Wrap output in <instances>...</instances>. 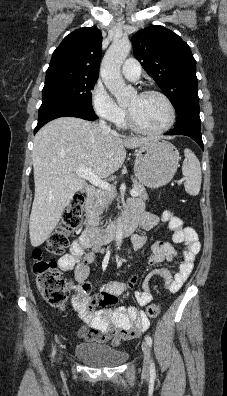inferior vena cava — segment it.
Listing matches in <instances>:
<instances>
[{"mask_svg": "<svg viewBox=\"0 0 227 396\" xmlns=\"http://www.w3.org/2000/svg\"><path fill=\"white\" fill-rule=\"evenodd\" d=\"M99 127H100L102 130L111 131L110 127L107 125V123H106L104 120H100V121H99Z\"/></svg>", "mask_w": 227, "mask_h": 396, "instance_id": "1", "label": "inferior vena cava"}]
</instances>
